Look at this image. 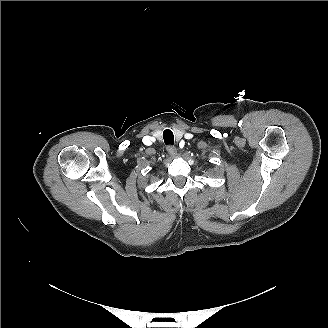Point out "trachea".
Listing matches in <instances>:
<instances>
[{
  "mask_svg": "<svg viewBox=\"0 0 328 328\" xmlns=\"http://www.w3.org/2000/svg\"><path fill=\"white\" fill-rule=\"evenodd\" d=\"M163 139L166 145H173L174 144V135L171 130L166 129L163 132Z\"/></svg>",
  "mask_w": 328,
  "mask_h": 328,
  "instance_id": "1",
  "label": "trachea"
}]
</instances>
